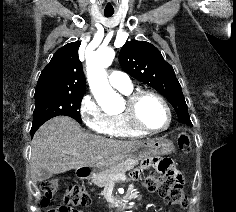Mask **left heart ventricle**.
I'll list each match as a JSON object with an SVG mask.
<instances>
[{
	"label": "left heart ventricle",
	"instance_id": "left-heart-ventricle-1",
	"mask_svg": "<svg viewBox=\"0 0 236 212\" xmlns=\"http://www.w3.org/2000/svg\"><path fill=\"white\" fill-rule=\"evenodd\" d=\"M139 117L141 123L150 129L163 128L168 122L165 107L160 101L151 96L142 99L139 106Z\"/></svg>",
	"mask_w": 236,
	"mask_h": 212
}]
</instances>
